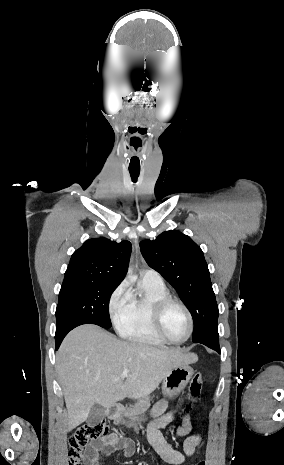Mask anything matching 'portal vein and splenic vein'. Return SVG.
I'll use <instances>...</instances> for the list:
<instances>
[{
	"instance_id": "obj_1",
	"label": "portal vein and splenic vein",
	"mask_w": 284,
	"mask_h": 465,
	"mask_svg": "<svg viewBox=\"0 0 284 465\" xmlns=\"http://www.w3.org/2000/svg\"><path fill=\"white\" fill-rule=\"evenodd\" d=\"M129 373H130V371H128V369H124L121 377H128Z\"/></svg>"
}]
</instances>
